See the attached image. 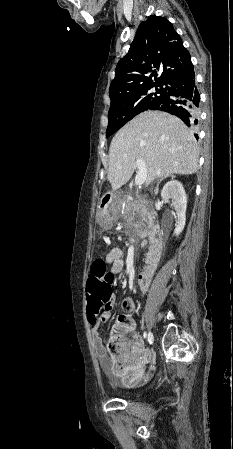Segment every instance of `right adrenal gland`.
Masks as SVG:
<instances>
[{"label": "right adrenal gland", "mask_w": 233, "mask_h": 449, "mask_svg": "<svg viewBox=\"0 0 233 449\" xmlns=\"http://www.w3.org/2000/svg\"><path fill=\"white\" fill-rule=\"evenodd\" d=\"M174 177H175L174 175L171 176V178H174ZM163 179H165V178H161V179L158 181V183H157V186H156V188H155V194H156V195L158 194V191H159V184L161 183V181H162Z\"/></svg>", "instance_id": "right-adrenal-gland-1"}]
</instances>
